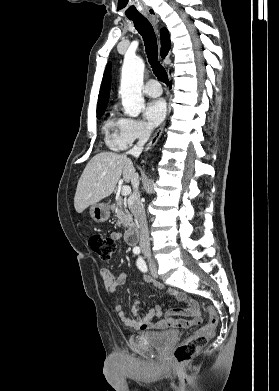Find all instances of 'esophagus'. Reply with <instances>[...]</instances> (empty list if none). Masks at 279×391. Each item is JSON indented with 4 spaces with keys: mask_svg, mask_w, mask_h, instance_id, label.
<instances>
[{
    "mask_svg": "<svg viewBox=\"0 0 279 391\" xmlns=\"http://www.w3.org/2000/svg\"><path fill=\"white\" fill-rule=\"evenodd\" d=\"M150 18L154 21L155 24H157L158 19H157V17H156V13H152V14L150 15ZM164 126H165V124H163V125L156 131V133L154 134V136L151 138V140H150V141L148 142V144L146 145L145 151L150 150V149L157 143V141L159 140V138H160L161 135H162Z\"/></svg>",
    "mask_w": 279,
    "mask_h": 391,
    "instance_id": "34e87169",
    "label": "esophagus"
}]
</instances>
